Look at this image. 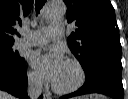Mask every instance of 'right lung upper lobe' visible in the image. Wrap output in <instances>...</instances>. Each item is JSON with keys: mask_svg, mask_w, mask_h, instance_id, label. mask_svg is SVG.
<instances>
[{"mask_svg": "<svg viewBox=\"0 0 128 99\" xmlns=\"http://www.w3.org/2000/svg\"><path fill=\"white\" fill-rule=\"evenodd\" d=\"M33 0H0V43H14L15 25L29 14Z\"/></svg>", "mask_w": 128, "mask_h": 99, "instance_id": "cb5924a9", "label": "right lung upper lobe"}]
</instances>
